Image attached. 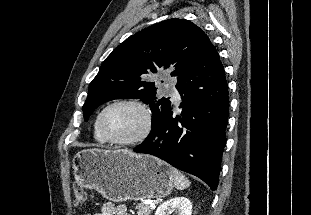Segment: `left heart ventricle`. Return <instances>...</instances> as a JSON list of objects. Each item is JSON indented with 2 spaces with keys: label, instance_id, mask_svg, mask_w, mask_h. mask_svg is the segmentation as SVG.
I'll return each mask as SVG.
<instances>
[{
  "label": "left heart ventricle",
  "instance_id": "obj_1",
  "mask_svg": "<svg viewBox=\"0 0 311 215\" xmlns=\"http://www.w3.org/2000/svg\"><path fill=\"white\" fill-rule=\"evenodd\" d=\"M144 125L142 112L132 105H117L110 108L103 119L106 133L117 139H129L138 135Z\"/></svg>",
  "mask_w": 311,
  "mask_h": 215
}]
</instances>
